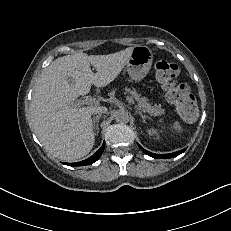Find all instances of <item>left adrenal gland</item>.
I'll list each match as a JSON object with an SVG mask.
<instances>
[{"label": "left adrenal gland", "mask_w": 231, "mask_h": 231, "mask_svg": "<svg viewBox=\"0 0 231 231\" xmlns=\"http://www.w3.org/2000/svg\"><path fill=\"white\" fill-rule=\"evenodd\" d=\"M136 113H138L141 116L144 122L146 121L147 116L143 115V113L140 110H136Z\"/></svg>", "instance_id": "a2214340"}]
</instances>
